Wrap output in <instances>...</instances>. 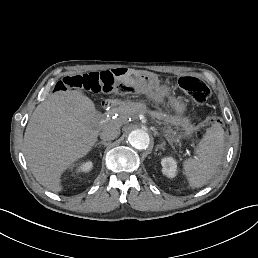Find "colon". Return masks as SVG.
Listing matches in <instances>:
<instances>
[{"label": "colon", "mask_w": 258, "mask_h": 258, "mask_svg": "<svg viewBox=\"0 0 258 258\" xmlns=\"http://www.w3.org/2000/svg\"><path fill=\"white\" fill-rule=\"evenodd\" d=\"M179 87L197 104L204 103L210 93L208 86L200 79L192 76H183L178 79ZM69 88L106 94H134L137 88L131 82L114 80L109 71L91 72L82 75L64 77L55 87L56 91H66ZM219 122L216 117H208L206 123Z\"/></svg>", "instance_id": "colon-1"}]
</instances>
